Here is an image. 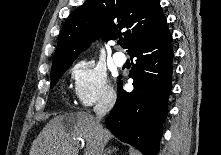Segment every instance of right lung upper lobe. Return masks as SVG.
Masks as SVG:
<instances>
[{"label": "right lung upper lobe", "mask_w": 221, "mask_h": 155, "mask_svg": "<svg viewBox=\"0 0 221 155\" xmlns=\"http://www.w3.org/2000/svg\"><path fill=\"white\" fill-rule=\"evenodd\" d=\"M164 23L158 0H87L67 18L58 38L52 70L72 64L99 37L108 41L123 35L122 46L129 52L141 37Z\"/></svg>", "instance_id": "1"}]
</instances>
